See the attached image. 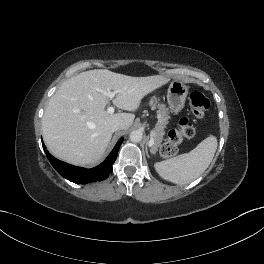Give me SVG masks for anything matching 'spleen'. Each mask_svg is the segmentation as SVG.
Instances as JSON below:
<instances>
[{
  "mask_svg": "<svg viewBox=\"0 0 264 264\" xmlns=\"http://www.w3.org/2000/svg\"><path fill=\"white\" fill-rule=\"evenodd\" d=\"M217 145V138L210 135L189 153L155 163V170L167 181L186 185L197 179L209 167Z\"/></svg>",
  "mask_w": 264,
  "mask_h": 264,
  "instance_id": "3e777b00",
  "label": "spleen"
}]
</instances>
